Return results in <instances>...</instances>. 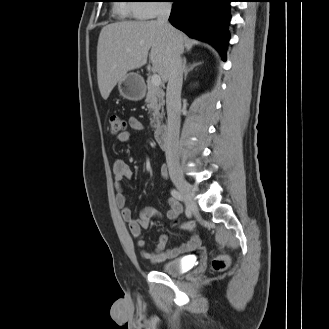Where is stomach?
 Returning <instances> with one entry per match:
<instances>
[{"label":"stomach","instance_id":"0dacf381","mask_svg":"<svg viewBox=\"0 0 329 329\" xmlns=\"http://www.w3.org/2000/svg\"><path fill=\"white\" fill-rule=\"evenodd\" d=\"M120 94L131 101H139L145 95V84L143 78L137 73H129L123 81L119 82Z\"/></svg>","mask_w":329,"mask_h":329}]
</instances>
